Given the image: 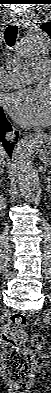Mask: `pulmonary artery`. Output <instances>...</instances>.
Returning <instances> with one entry per match:
<instances>
[{"instance_id":"e3ab8cb5","label":"pulmonary artery","mask_w":51,"mask_h":393,"mask_svg":"<svg viewBox=\"0 0 51 393\" xmlns=\"http://www.w3.org/2000/svg\"><path fill=\"white\" fill-rule=\"evenodd\" d=\"M34 64L38 74H47L51 69L49 60H38ZM30 81L31 75L28 73H11L2 78V85L6 88H17L28 84Z\"/></svg>"}]
</instances>
